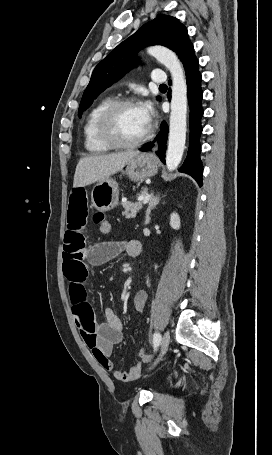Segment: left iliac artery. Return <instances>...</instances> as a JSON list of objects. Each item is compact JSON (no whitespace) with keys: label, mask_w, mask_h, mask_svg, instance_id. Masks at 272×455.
I'll list each match as a JSON object with an SVG mask.
<instances>
[{"label":"left iliac artery","mask_w":272,"mask_h":455,"mask_svg":"<svg viewBox=\"0 0 272 455\" xmlns=\"http://www.w3.org/2000/svg\"><path fill=\"white\" fill-rule=\"evenodd\" d=\"M160 340H161L160 333H158V332L154 333V335H153V343H154V349L155 350L159 346Z\"/></svg>","instance_id":"44dca946"}]
</instances>
